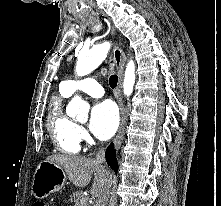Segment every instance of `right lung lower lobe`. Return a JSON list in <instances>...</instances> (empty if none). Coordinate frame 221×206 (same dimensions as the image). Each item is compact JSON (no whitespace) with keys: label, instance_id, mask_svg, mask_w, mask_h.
<instances>
[{"label":"right lung lower lobe","instance_id":"right-lung-lower-lobe-1","mask_svg":"<svg viewBox=\"0 0 221 206\" xmlns=\"http://www.w3.org/2000/svg\"><path fill=\"white\" fill-rule=\"evenodd\" d=\"M106 160L108 164L112 167V169L117 172L118 166H117V159L115 158V150H114V144H110L109 147L106 149Z\"/></svg>","mask_w":221,"mask_h":206}]
</instances>
